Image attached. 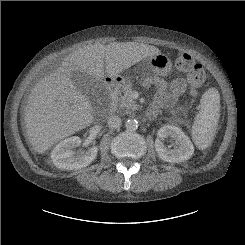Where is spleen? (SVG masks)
I'll return each instance as SVG.
<instances>
[{
	"label": "spleen",
	"instance_id": "3e777b00",
	"mask_svg": "<svg viewBox=\"0 0 245 245\" xmlns=\"http://www.w3.org/2000/svg\"><path fill=\"white\" fill-rule=\"evenodd\" d=\"M220 117V94L217 89H208L201 97L200 111L192 127L195 145L203 150L212 142Z\"/></svg>",
	"mask_w": 245,
	"mask_h": 245
}]
</instances>
